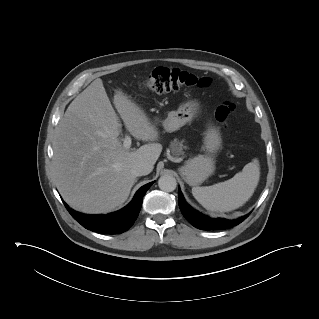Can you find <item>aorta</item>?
Segmentation results:
<instances>
[{
  "label": "aorta",
  "instance_id": "aorta-1",
  "mask_svg": "<svg viewBox=\"0 0 319 319\" xmlns=\"http://www.w3.org/2000/svg\"><path fill=\"white\" fill-rule=\"evenodd\" d=\"M158 186L162 191L172 192L176 189L177 182L172 175H163L158 180Z\"/></svg>",
  "mask_w": 319,
  "mask_h": 319
}]
</instances>
